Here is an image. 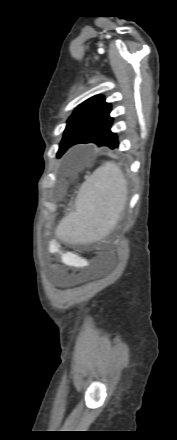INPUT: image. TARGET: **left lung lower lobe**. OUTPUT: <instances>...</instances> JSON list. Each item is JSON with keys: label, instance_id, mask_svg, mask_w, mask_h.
Listing matches in <instances>:
<instances>
[{"label": "left lung lower lobe", "instance_id": "left-lung-lower-lobe-1", "mask_svg": "<svg viewBox=\"0 0 177 440\" xmlns=\"http://www.w3.org/2000/svg\"><path fill=\"white\" fill-rule=\"evenodd\" d=\"M112 120L88 134L78 143H95L97 146H107L111 149L118 147V137L111 131Z\"/></svg>", "mask_w": 177, "mask_h": 440}]
</instances>
